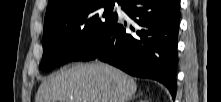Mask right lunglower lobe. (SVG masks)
Returning a JSON list of instances; mask_svg holds the SVG:
<instances>
[{
    "label": "right lung lower lobe",
    "instance_id": "1",
    "mask_svg": "<svg viewBox=\"0 0 221 102\" xmlns=\"http://www.w3.org/2000/svg\"><path fill=\"white\" fill-rule=\"evenodd\" d=\"M122 10L134 21L117 20L74 61L98 58L121 70L157 80L176 95L177 45L180 23L179 0H122Z\"/></svg>",
    "mask_w": 221,
    "mask_h": 102
}]
</instances>
